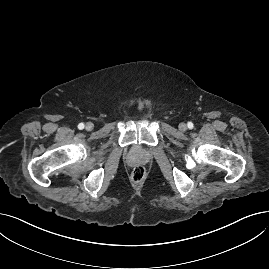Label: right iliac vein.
Listing matches in <instances>:
<instances>
[{
    "label": "right iliac vein",
    "mask_w": 269,
    "mask_h": 269,
    "mask_svg": "<svg viewBox=\"0 0 269 269\" xmlns=\"http://www.w3.org/2000/svg\"><path fill=\"white\" fill-rule=\"evenodd\" d=\"M94 128V125L92 122H88L86 125H85V129L87 131H91L92 129Z\"/></svg>",
    "instance_id": "1"
}]
</instances>
